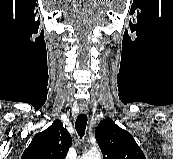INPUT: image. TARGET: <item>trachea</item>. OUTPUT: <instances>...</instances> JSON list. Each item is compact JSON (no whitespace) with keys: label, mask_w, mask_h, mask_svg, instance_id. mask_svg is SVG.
Instances as JSON below:
<instances>
[{"label":"trachea","mask_w":173,"mask_h":159,"mask_svg":"<svg viewBox=\"0 0 173 159\" xmlns=\"http://www.w3.org/2000/svg\"><path fill=\"white\" fill-rule=\"evenodd\" d=\"M86 125H87V115L80 114L76 119L75 127H76L78 135L81 138L85 134Z\"/></svg>","instance_id":"1"}]
</instances>
